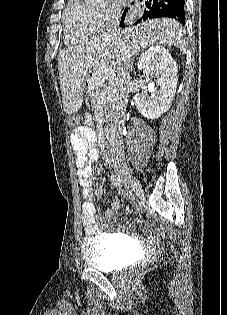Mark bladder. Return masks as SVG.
Masks as SVG:
<instances>
[{
	"label": "bladder",
	"instance_id": "bladder-1",
	"mask_svg": "<svg viewBox=\"0 0 227 315\" xmlns=\"http://www.w3.org/2000/svg\"><path fill=\"white\" fill-rule=\"evenodd\" d=\"M130 247L116 235H97L85 237L81 245L84 263L101 271L122 268Z\"/></svg>",
	"mask_w": 227,
	"mask_h": 315
}]
</instances>
